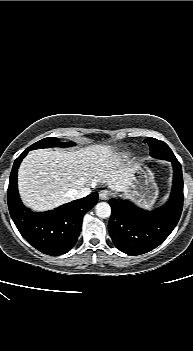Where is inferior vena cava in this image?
<instances>
[{
    "instance_id": "1",
    "label": "inferior vena cava",
    "mask_w": 193,
    "mask_h": 351,
    "mask_svg": "<svg viewBox=\"0 0 193 351\" xmlns=\"http://www.w3.org/2000/svg\"><path fill=\"white\" fill-rule=\"evenodd\" d=\"M90 193H91V189L89 187H84L78 190L71 191V194L77 199L86 197Z\"/></svg>"
}]
</instances>
